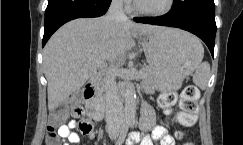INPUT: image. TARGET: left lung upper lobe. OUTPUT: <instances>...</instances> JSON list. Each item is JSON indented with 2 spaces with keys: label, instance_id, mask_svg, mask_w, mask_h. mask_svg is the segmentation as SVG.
<instances>
[{
  "label": "left lung upper lobe",
  "instance_id": "left-lung-upper-lobe-1",
  "mask_svg": "<svg viewBox=\"0 0 243 145\" xmlns=\"http://www.w3.org/2000/svg\"><path fill=\"white\" fill-rule=\"evenodd\" d=\"M172 9L195 19H215L214 0H173Z\"/></svg>",
  "mask_w": 243,
  "mask_h": 145
}]
</instances>
